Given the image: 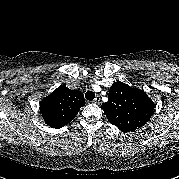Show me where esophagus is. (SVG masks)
I'll return each mask as SVG.
<instances>
[{
  "label": "esophagus",
  "instance_id": "esophagus-1",
  "mask_svg": "<svg viewBox=\"0 0 179 179\" xmlns=\"http://www.w3.org/2000/svg\"><path fill=\"white\" fill-rule=\"evenodd\" d=\"M100 100H101L100 96H96L93 102L98 104L100 103Z\"/></svg>",
  "mask_w": 179,
  "mask_h": 179
}]
</instances>
